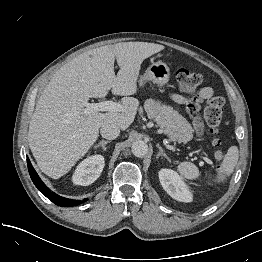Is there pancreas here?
<instances>
[{
    "instance_id": "obj_1",
    "label": "pancreas",
    "mask_w": 262,
    "mask_h": 262,
    "mask_svg": "<svg viewBox=\"0 0 262 262\" xmlns=\"http://www.w3.org/2000/svg\"><path fill=\"white\" fill-rule=\"evenodd\" d=\"M144 109L147 116L153 119L171 140L186 142L190 139L191 125L185 118L177 115L172 108L148 99L144 103Z\"/></svg>"
}]
</instances>
